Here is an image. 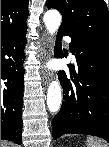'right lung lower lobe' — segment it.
I'll list each match as a JSON object with an SVG mask.
<instances>
[{
	"label": "right lung lower lobe",
	"instance_id": "right-lung-lower-lobe-1",
	"mask_svg": "<svg viewBox=\"0 0 109 147\" xmlns=\"http://www.w3.org/2000/svg\"><path fill=\"white\" fill-rule=\"evenodd\" d=\"M26 28L1 38V139L22 143Z\"/></svg>",
	"mask_w": 109,
	"mask_h": 147
}]
</instances>
